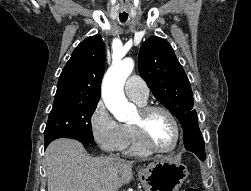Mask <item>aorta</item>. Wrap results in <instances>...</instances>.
I'll list each match as a JSON object with an SVG mask.
<instances>
[{
    "label": "aorta",
    "instance_id": "1",
    "mask_svg": "<svg viewBox=\"0 0 251 191\" xmlns=\"http://www.w3.org/2000/svg\"><path fill=\"white\" fill-rule=\"evenodd\" d=\"M133 68L134 62L131 58L121 60L120 56H113L112 66L105 74L103 80L102 97L106 107L118 121L130 119L134 111V103H129L123 90L124 84Z\"/></svg>",
    "mask_w": 251,
    "mask_h": 191
}]
</instances>
